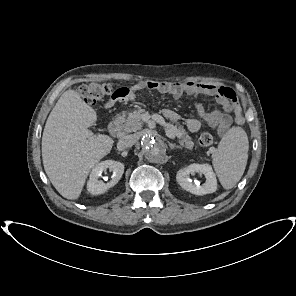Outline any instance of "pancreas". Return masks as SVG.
<instances>
[{
  "mask_svg": "<svg viewBox=\"0 0 296 296\" xmlns=\"http://www.w3.org/2000/svg\"><path fill=\"white\" fill-rule=\"evenodd\" d=\"M144 110L139 108L133 112H123L118 116V120L121 124V129L126 132H136L141 129L143 125L142 114ZM168 128L171 129L175 136L179 139L181 146L192 150L194 143L191 140V137L188 135V132L175 120L167 123Z\"/></svg>",
  "mask_w": 296,
  "mask_h": 296,
  "instance_id": "obj_1",
  "label": "pancreas"
}]
</instances>
